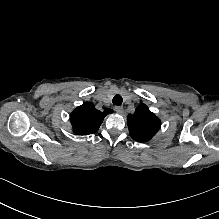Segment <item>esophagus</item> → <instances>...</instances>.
Returning a JSON list of instances; mask_svg holds the SVG:
<instances>
[{
  "label": "esophagus",
  "instance_id": "obj_1",
  "mask_svg": "<svg viewBox=\"0 0 219 219\" xmlns=\"http://www.w3.org/2000/svg\"><path fill=\"white\" fill-rule=\"evenodd\" d=\"M123 107H121V106H116L115 107V111L117 112V113H119V114H122L123 113Z\"/></svg>",
  "mask_w": 219,
  "mask_h": 219
}]
</instances>
